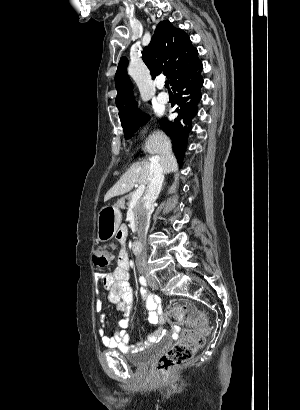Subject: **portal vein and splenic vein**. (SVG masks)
Returning <instances> with one entry per match:
<instances>
[{
  "mask_svg": "<svg viewBox=\"0 0 300 410\" xmlns=\"http://www.w3.org/2000/svg\"><path fill=\"white\" fill-rule=\"evenodd\" d=\"M145 190V185H140L137 190L134 192L131 202H130V206H134L135 203L141 198V196L143 195Z\"/></svg>",
  "mask_w": 300,
  "mask_h": 410,
  "instance_id": "18ae733b",
  "label": "portal vein and splenic vein"
}]
</instances>
